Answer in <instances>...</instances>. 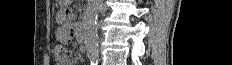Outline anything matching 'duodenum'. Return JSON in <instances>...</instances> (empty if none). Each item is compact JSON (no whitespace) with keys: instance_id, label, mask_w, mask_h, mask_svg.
<instances>
[{"instance_id":"1","label":"duodenum","mask_w":232,"mask_h":65,"mask_svg":"<svg viewBox=\"0 0 232 65\" xmlns=\"http://www.w3.org/2000/svg\"><path fill=\"white\" fill-rule=\"evenodd\" d=\"M86 37V29L83 23L79 26L78 29V39L81 43H84Z\"/></svg>"}]
</instances>
